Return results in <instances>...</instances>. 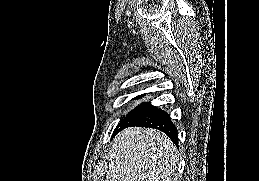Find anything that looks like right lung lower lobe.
Listing matches in <instances>:
<instances>
[{
    "instance_id": "98d812e1",
    "label": "right lung lower lobe",
    "mask_w": 259,
    "mask_h": 181,
    "mask_svg": "<svg viewBox=\"0 0 259 181\" xmlns=\"http://www.w3.org/2000/svg\"><path fill=\"white\" fill-rule=\"evenodd\" d=\"M137 126V127H151L156 128L158 130L163 131L170 139L178 145V136H177V129L175 125L172 123L169 115L160 110L157 107L150 105L137 119L133 122L129 123L128 125L119 128L118 130L114 131V137L117 133L127 127Z\"/></svg>"
}]
</instances>
